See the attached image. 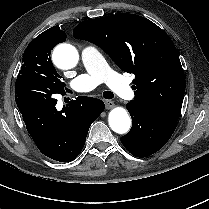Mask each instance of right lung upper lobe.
Wrapping results in <instances>:
<instances>
[{
	"instance_id": "obj_1",
	"label": "right lung upper lobe",
	"mask_w": 209,
	"mask_h": 209,
	"mask_svg": "<svg viewBox=\"0 0 209 209\" xmlns=\"http://www.w3.org/2000/svg\"><path fill=\"white\" fill-rule=\"evenodd\" d=\"M44 34L51 35L54 38L56 45L58 43L64 42L66 40V34L64 31L60 30L59 26H54V27L46 30L45 32L41 33V35H44Z\"/></svg>"
}]
</instances>
